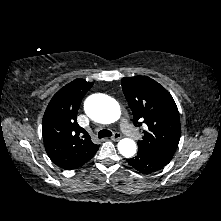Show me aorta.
I'll list each match as a JSON object with an SVG mask.
<instances>
[{"instance_id":"1","label":"aorta","mask_w":221,"mask_h":221,"mask_svg":"<svg viewBox=\"0 0 221 221\" xmlns=\"http://www.w3.org/2000/svg\"><path fill=\"white\" fill-rule=\"evenodd\" d=\"M86 114L93 120L110 124L120 117V106L116 100L103 94H94L87 98L84 104ZM118 150L124 157L130 158L135 155L137 145L129 138L121 139Z\"/></svg>"}]
</instances>
